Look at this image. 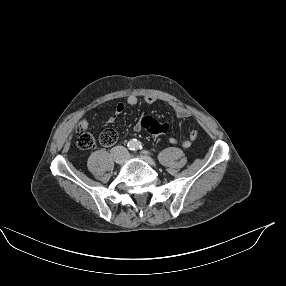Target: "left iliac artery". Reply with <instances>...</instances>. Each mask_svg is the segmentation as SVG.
<instances>
[{"label": "left iliac artery", "mask_w": 286, "mask_h": 286, "mask_svg": "<svg viewBox=\"0 0 286 286\" xmlns=\"http://www.w3.org/2000/svg\"><path fill=\"white\" fill-rule=\"evenodd\" d=\"M135 148L138 149V150H142V149H143L142 143L139 142V141H137V142L135 143Z\"/></svg>", "instance_id": "obj_1"}]
</instances>
